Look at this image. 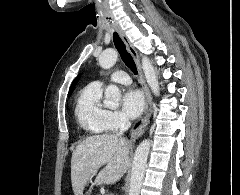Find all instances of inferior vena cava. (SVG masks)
Returning a JSON list of instances; mask_svg holds the SVG:
<instances>
[{
	"instance_id": "inferior-vena-cava-1",
	"label": "inferior vena cava",
	"mask_w": 240,
	"mask_h": 195,
	"mask_svg": "<svg viewBox=\"0 0 240 195\" xmlns=\"http://www.w3.org/2000/svg\"><path fill=\"white\" fill-rule=\"evenodd\" d=\"M131 125V121H129L128 117H123L121 123H120V131H118L117 135H119L120 139H122V141H126L125 137H122L124 131H126V129H129Z\"/></svg>"
}]
</instances>
